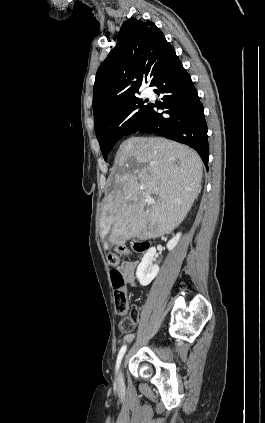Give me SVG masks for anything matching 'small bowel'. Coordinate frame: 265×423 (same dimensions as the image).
<instances>
[{
    "mask_svg": "<svg viewBox=\"0 0 265 423\" xmlns=\"http://www.w3.org/2000/svg\"><path fill=\"white\" fill-rule=\"evenodd\" d=\"M138 262L137 261H126L123 262L119 267L118 270L122 274L126 284L128 286H135L136 285V268ZM132 338V334L128 333L125 335V339L129 340Z\"/></svg>",
    "mask_w": 265,
    "mask_h": 423,
    "instance_id": "1",
    "label": "small bowel"
}]
</instances>
